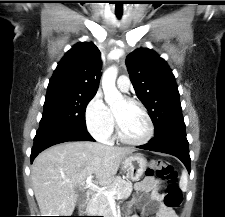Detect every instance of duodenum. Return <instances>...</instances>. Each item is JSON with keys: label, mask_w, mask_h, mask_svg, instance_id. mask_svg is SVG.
<instances>
[{"label": "duodenum", "mask_w": 225, "mask_h": 217, "mask_svg": "<svg viewBox=\"0 0 225 217\" xmlns=\"http://www.w3.org/2000/svg\"><path fill=\"white\" fill-rule=\"evenodd\" d=\"M92 197H93V193L92 192H88L87 193V199L88 200H91L92 199ZM84 213H86V211H84ZM110 217H118L117 215H111Z\"/></svg>", "instance_id": "1"}]
</instances>
